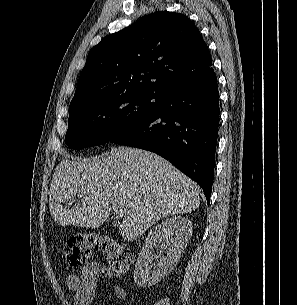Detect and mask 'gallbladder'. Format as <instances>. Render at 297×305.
Here are the masks:
<instances>
[{
    "label": "gallbladder",
    "mask_w": 297,
    "mask_h": 305,
    "mask_svg": "<svg viewBox=\"0 0 297 305\" xmlns=\"http://www.w3.org/2000/svg\"><path fill=\"white\" fill-rule=\"evenodd\" d=\"M114 226H118V223L115 222V223H114Z\"/></svg>",
    "instance_id": "1"
}]
</instances>
